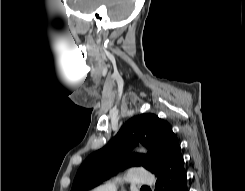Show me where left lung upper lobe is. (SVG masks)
<instances>
[{
	"label": "left lung upper lobe",
	"mask_w": 245,
	"mask_h": 191,
	"mask_svg": "<svg viewBox=\"0 0 245 191\" xmlns=\"http://www.w3.org/2000/svg\"><path fill=\"white\" fill-rule=\"evenodd\" d=\"M142 143L148 154H131ZM180 148L170 125L155 114H142L128 120L116 136L102 149L89 155L80 166L71 191H84L126 167L142 166L156 173Z\"/></svg>",
	"instance_id": "5c2ea615"
}]
</instances>
